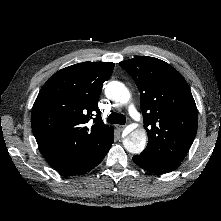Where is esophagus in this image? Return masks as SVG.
I'll return each instance as SVG.
<instances>
[{
    "mask_svg": "<svg viewBox=\"0 0 221 221\" xmlns=\"http://www.w3.org/2000/svg\"><path fill=\"white\" fill-rule=\"evenodd\" d=\"M125 126L123 125H117V130L122 132L124 130Z\"/></svg>",
    "mask_w": 221,
    "mask_h": 221,
    "instance_id": "esophagus-1",
    "label": "esophagus"
}]
</instances>
